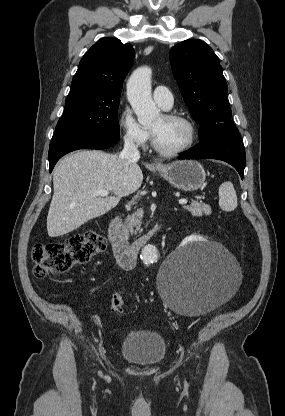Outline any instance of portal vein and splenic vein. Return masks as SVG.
Here are the masks:
<instances>
[{
	"label": "portal vein and splenic vein",
	"instance_id": "obj_1",
	"mask_svg": "<svg viewBox=\"0 0 285 416\" xmlns=\"http://www.w3.org/2000/svg\"><path fill=\"white\" fill-rule=\"evenodd\" d=\"M92 196H109L108 190H94ZM188 200H179V204H187Z\"/></svg>",
	"mask_w": 285,
	"mask_h": 416
}]
</instances>
